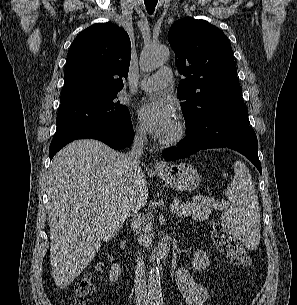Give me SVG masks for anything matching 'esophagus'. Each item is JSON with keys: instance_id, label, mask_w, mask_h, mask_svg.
Masks as SVG:
<instances>
[{"instance_id": "obj_1", "label": "esophagus", "mask_w": 297, "mask_h": 305, "mask_svg": "<svg viewBox=\"0 0 297 305\" xmlns=\"http://www.w3.org/2000/svg\"><path fill=\"white\" fill-rule=\"evenodd\" d=\"M154 168H155L156 170L162 169V168H163L162 162L159 161V160H156L155 163H154Z\"/></svg>"}]
</instances>
